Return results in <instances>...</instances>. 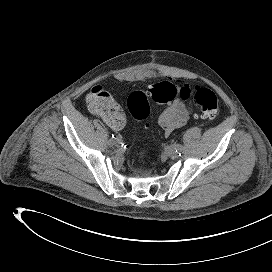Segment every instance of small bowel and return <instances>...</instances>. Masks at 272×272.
Wrapping results in <instances>:
<instances>
[{
    "label": "small bowel",
    "instance_id": "small-bowel-1",
    "mask_svg": "<svg viewBox=\"0 0 272 272\" xmlns=\"http://www.w3.org/2000/svg\"><path fill=\"white\" fill-rule=\"evenodd\" d=\"M97 114L113 130H121L125 125V116L113 98L110 100L108 111L104 114ZM191 115V107L186 105L182 100L176 99L160 114L158 124L165 135H170L175 129L187 123Z\"/></svg>",
    "mask_w": 272,
    "mask_h": 272
}]
</instances>
